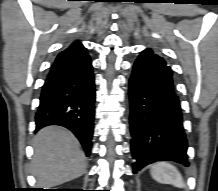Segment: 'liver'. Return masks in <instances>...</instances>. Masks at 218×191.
I'll return each instance as SVG.
<instances>
[{
  "label": "liver",
  "mask_w": 218,
  "mask_h": 191,
  "mask_svg": "<svg viewBox=\"0 0 218 191\" xmlns=\"http://www.w3.org/2000/svg\"><path fill=\"white\" fill-rule=\"evenodd\" d=\"M32 172L40 187H54L80 177L87 161L77 138L67 129L49 126L33 140Z\"/></svg>",
  "instance_id": "liver-1"
}]
</instances>
